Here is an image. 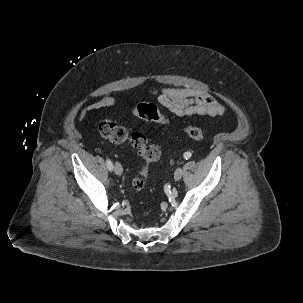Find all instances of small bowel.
<instances>
[{
	"mask_svg": "<svg viewBox=\"0 0 303 303\" xmlns=\"http://www.w3.org/2000/svg\"><path fill=\"white\" fill-rule=\"evenodd\" d=\"M159 103L177 116H210L218 118L224 115L225 108L209 93L191 87H167L155 91ZM115 98L104 96L85 106L80 118L84 119L91 110L112 106Z\"/></svg>",
	"mask_w": 303,
	"mask_h": 303,
	"instance_id": "1",
	"label": "small bowel"
}]
</instances>
